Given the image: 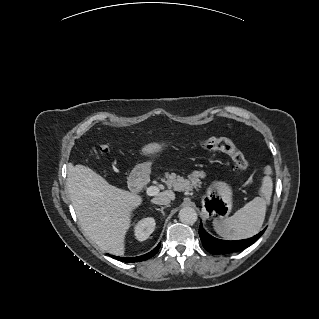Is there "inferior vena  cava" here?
Segmentation results:
<instances>
[{
	"mask_svg": "<svg viewBox=\"0 0 319 319\" xmlns=\"http://www.w3.org/2000/svg\"><path fill=\"white\" fill-rule=\"evenodd\" d=\"M170 201V198L164 195H158L151 200L152 203L158 205H169Z\"/></svg>",
	"mask_w": 319,
	"mask_h": 319,
	"instance_id": "obj_1",
	"label": "inferior vena cava"
}]
</instances>
